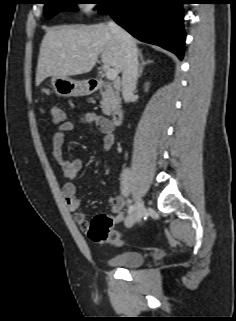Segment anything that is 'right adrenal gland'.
Listing matches in <instances>:
<instances>
[{
  "instance_id": "2a0ac1e0",
  "label": "right adrenal gland",
  "mask_w": 236,
  "mask_h": 321,
  "mask_svg": "<svg viewBox=\"0 0 236 321\" xmlns=\"http://www.w3.org/2000/svg\"><path fill=\"white\" fill-rule=\"evenodd\" d=\"M139 58H140V67H139V74H138V78H140L141 77V75H142V72H143V68H144V66L145 65H148V64H150V63H154V61L153 60H144V57H143V55H142V52H139Z\"/></svg>"
}]
</instances>
